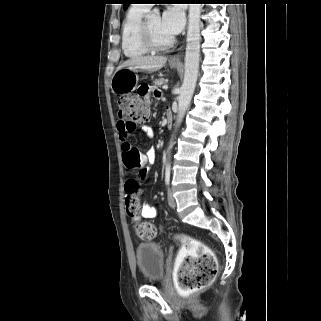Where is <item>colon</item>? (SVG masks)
<instances>
[{"mask_svg": "<svg viewBox=\"0 0 321 321\" xmlns=\"http://www.w3.org/2000/svg\"><path fill=\"white\" fill-rule=\"evenodd\" d=\"M119 120L130 129L135 130L147 121L149 108L137 95L124 96L118 102ZM145 160L139 151L131 153L125 165L128 169L144 167ZM141 188L137 181L130 179L125 184V206L128 215H135L140 209ZM136 235L143 240H151L156 236V228L149 222L135 227ZM178 239L182 245V253L178 258L175 276L178 288L189 293L208 286L218 272L217 259L212 250L201 241L181 234Z\"/></svg>", "mask_w": 321, "mask_h": 321, "instance_id": "1", "label": "colon"}]
</instances>
